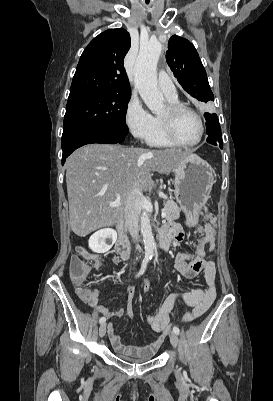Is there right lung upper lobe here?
Segmentation results:
<instances>
[{
  "instance_id": "1",
  "label": "right lung upper lobe",
  "mask_w": 273,
  "mask_h": 401,
  "mask_svg": "<svg viewBox=\"0 0 273 401\" xmlns=\"http://www.w3.org/2000/svg\"><path fill=\"white\" fill-rule=\"evenodd\" d=\"M130 46V35L122 28L95 37L80 57L69 96L90 92L131 95L123 64Z\"/></svg>"
}]
</instances>
